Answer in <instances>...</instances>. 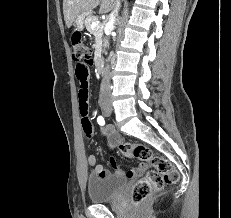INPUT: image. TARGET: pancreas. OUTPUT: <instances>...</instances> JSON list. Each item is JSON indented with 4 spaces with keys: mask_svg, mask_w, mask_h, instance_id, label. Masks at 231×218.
Segmentation results:
<instances>
[{
    "mask_svg": "<svg viewBox=\"0 0 231 218\" xmlns=\"http://www.w3.org/2000/svg\"><path fill=\"white\" fill-rule=\"evenodd\" d=\"M94 21H98V18L94 15H87L85 19V27L87 31L95 37V49L99 51L101 49L102 44V36H103V25L99 24L97 27L92 28L91 24Z\"/></svg>",
    "mask_w": 231,
    "mask_h": 218,
    "instance_id": "obj_1",
    "label": "pancreas"
}]
</instances>
